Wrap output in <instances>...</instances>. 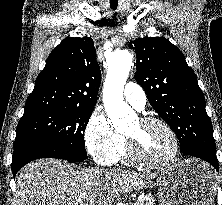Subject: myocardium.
<instances>
[{
    "instance_id": "myocardium-1",
    "label": "myocardium",
    "mask_w": 222,
    "mask_h": 205,
    "mask_svg": "<svg viewBox=\"0 0 222 205\" xmlns=\"http://www.w3.org/2000/svg\"><path fill=\"white\" fill-rule=\"evenodd\" d=\"M138 120L141 124H144V125L158 124L162 126L170 135L172 139V143H173V148H172L171 153L164 159H161L158 161L147 159L140 153L136 141L132 137L126 135V140L128 144V152L132 161L140 165L152 167V168H163L172 164L176 160L179 154V149H180L178 136L175 130L172 128V126L165 120L158 117H153V116H144V117L139 118Z\"/></svg>"
}]
</instances>
